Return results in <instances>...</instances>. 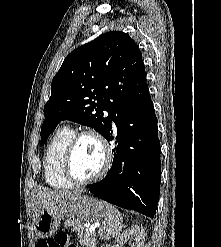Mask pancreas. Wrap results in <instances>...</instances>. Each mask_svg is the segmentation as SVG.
I'll list each match as a JSON object with an SVG mask.
<instances>
[{
    "label": "pancreas",
    "instance_id": "1",
    "mask_svg": "<svg viewBox=\"0 0 221 247\" xmlns=\"http://www.w3.org/2000/svg\"><path fill=\"white\" fill-rule=\"evenodd\" d=\"M72 230L75 231L80 238V244L84 247H96L95 235L84 231L83 225L79 220H73L70 224Z\"/></svg>",
    "mask_w": 221,
    "mask_h": 247
}]
</instances>
